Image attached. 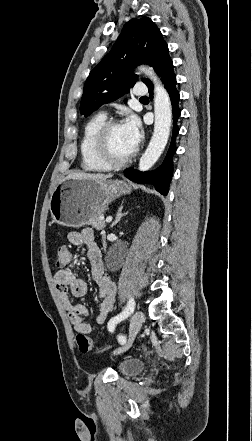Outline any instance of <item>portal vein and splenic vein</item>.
I'll return each mask as SVG.
<instances>
[{
	"instance_id": "18ae733b",
	"label": "portal vein and splenic vein",
	"mask_w": 252,
	"mask_h": 441,
	"mask_svg": "<svg viewBox=\"0 0 252 441\" xmlns=\"http://www.w3.org/2000/svg\"><path fill=\"white\" fill-rule=\"evenodd\" d=\"M111 221H112V217H111V216H109V217L106 218V222H107V223H110Z\"/></svg>"
}]
</instances>
